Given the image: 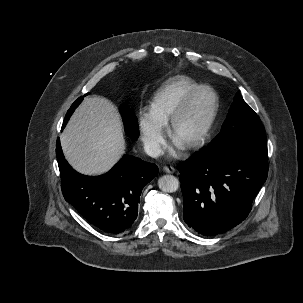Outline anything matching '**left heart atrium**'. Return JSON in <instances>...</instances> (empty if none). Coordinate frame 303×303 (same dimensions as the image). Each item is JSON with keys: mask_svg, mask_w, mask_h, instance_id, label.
<instances>
[{"mask_svg": "<svg viewBox=\"0 0 303 303\" xmlns=\"http://www.w3.org/2000/svg\"><path fill=\"white\" fill-rule=\"evenodd\" d=\"M175 146L177 147V148H182L183 147V143L181 142V141H179L178 139H176L175 138ZM172 155L173 156H176L177 155V153H176V151H172Z\"/></svg>", "mask_w": 303, "mask_h": 303, "instance_id": "1", "label": "left heart atrium"}]
</instances>
